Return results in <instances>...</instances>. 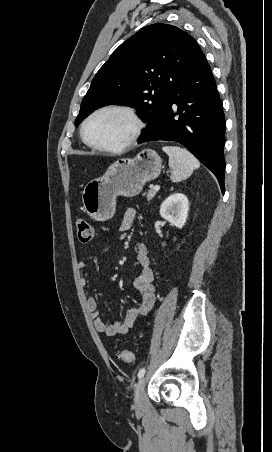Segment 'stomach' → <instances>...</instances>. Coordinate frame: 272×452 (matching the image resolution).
<instances>
[{
    "instance_id": "obj_1",
    "label": "stomach",
    "mask_w": 272,
    "mask_h": 452,
    "mask_svg": "<svg viewBox=\"0 0 272 452\" xmlns=\"http://www.w3.org/2000/svg\"><path fill=\"white\" fill-rule=\"evenodd\" d=\"M162 160L152 149H144L134 158H121L105 174L86 184L82 193L85 211L97 221L111 219L116 211L117 196L138 195L146 182L156 179Z\"/></svg>"
}]
</instances>
